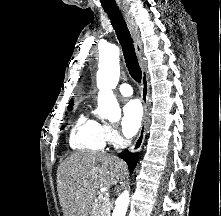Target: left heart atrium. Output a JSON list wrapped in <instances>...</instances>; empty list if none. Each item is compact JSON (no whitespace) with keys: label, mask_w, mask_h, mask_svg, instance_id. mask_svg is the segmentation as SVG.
Returning a JSON list of instances; mask_svg holds the SVG:
<instances>
[{"label":"left heart atrium","mask_w":221,"mask_h":216,"mask_svg":"<svg viewBox=\"0 0 221 216\" xmlns=\"http://www.w3.org/2000/svg\"><path fill=\"white\" fill-rule=\"evenodd\" d=\"M143 112L137 100L128 101L122 109L121 129L125 136L131 137L139 130Z\"/></svg>","instance_id":"39dd6f15"}]
</instances>
